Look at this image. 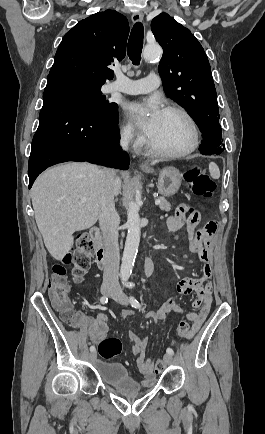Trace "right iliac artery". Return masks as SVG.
Returning <instances> with one entry per match:
<instances>
[{"mask_svg":"<svg viewBox=\"0 0 265 434\" xmlns=\"http://www.w3.org/2000/svg\"><path fill=\"white\" fill-rule=\"evenodd\" d=\"M100 302L102 303V304H106L107 302H108V298L106 297V296H102L101 298H100ZM90 351L92 352V351H95V347L94 346H91L90 347Z\"/></svg>","mask_w":265,"mask_h":434,"instance_id":"right-iliac-artery-1","label":"right iliac artery"}]
</instances>
